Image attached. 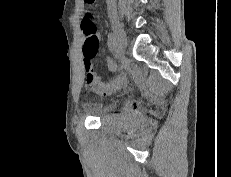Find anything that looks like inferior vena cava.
<instances>
[{
    "label": "inferior vena cava",
    "instance_id": "inferior-vena-cava-1",
    "mask_svg": "<svg viewBox=\"0 0 231 177\" xmlns=\"http://www.w3.org/2000/svg\"><path fill=\"white\" fill-rule=\"evenodd\" d=\"M108 3H113L115 0H107Z\"/></svg>",
    "mask_w": 231,
    "mask_h": 177
}]
</instances>
